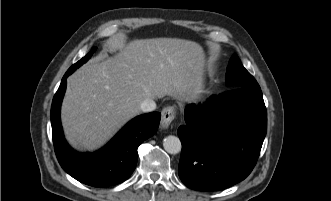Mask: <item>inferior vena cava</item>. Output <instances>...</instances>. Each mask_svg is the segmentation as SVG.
<instances>
[{
	"label": "inferior vena cava",
	"instance_id": "inferior-vena-cava-1",
	"mask_svg": "<svg viewBox=\"0 0 331 201\" xmlns=\"http://www.w3.org/2000/svg\"><path fill=\"white\" fill-rule=\"evenodd\" d=\"M140 109L143 112H151L153 110L156 109V103L154 102V100L152 99H145L141 105H140Z\"/></svg>",
	"mask_w": 331,
	"mask_h": 201
}]
</instances>
